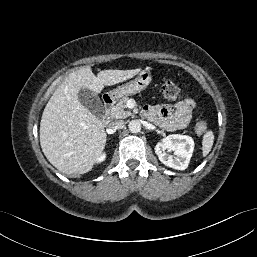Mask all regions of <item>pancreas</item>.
I'll list each match as a JSON object with an SVG mask.
<instances>
[{"label":"pancreas","instance_id":"1","mask_svg":"<svg viewBox=\"0 0 257 257\" xmlns=\"http://www.w3.org/2000/svg\"><path fill=\"white\" fill-rule=\"evenodd\" d=\"M128 100V97L119 100V102L111 109L112 118L122 119L132 115L130 110H126V103Z\"/></svg>","mask_w":257,"mask_h":257}]
</instances>
